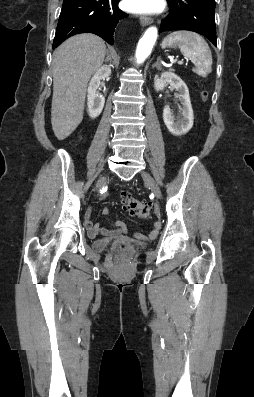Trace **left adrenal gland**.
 Here are the masks:
<instances>
[{"label":"left adrenal gland","instance_id":"left-adrenal-gland-1","mask_svg":"<svg viewBox=\"0 0 254 397\" xmlns=\"http://www.w3.org/2000/svg\"><path fill=\"white\" fill-rule=\"evenodd\" d=\"M152 67H156L158 70L161 69L160 57H157V61L152 65Z\"/></svg>","mask_w":254,"mask_h":397}]
</instances>
